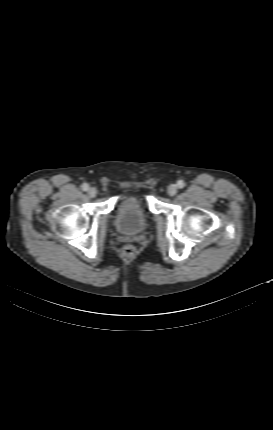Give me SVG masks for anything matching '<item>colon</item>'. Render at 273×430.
Masks as SVG:
<instances>
[{
    "instance_id": "5ec220e1",
    "label": "colon",
    "mask_w": 273,
    "mask_h": 430,
    "mask_svg": "<svg viewBox=\"0 0 273 430\" xmlns=\"http://www.w3.org/2000/svg\"><path fill=\"white\" fill-rule=\"evenodd\" d=\"M134 253H135V248L132 245H126L122 249V254L125 257H131V256H133Z\"/></svg>"
}]
</instances>
